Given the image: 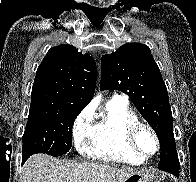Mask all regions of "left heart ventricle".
Wrapping results in <instances>:
<instances>
[{"label": "left heart ventricle", "instance_id": "1", "mask_svg": "<svg viewBox=\"0 0 196 182\" xmlns=\"http://www.w3.org/2000/svg\"><path fill=\"white\" fill-rule=\"evenodd\" d=\"M138 143L141 149L146 153H152L155 150L156 144L153 136L148 132L143 130L139 137Z\"/></svg>", "mask_w": 196, "mask_h": 182}]
</instances>
